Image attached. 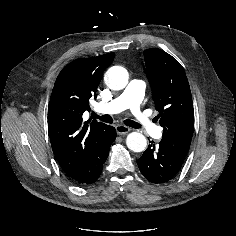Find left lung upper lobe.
<instances>
[{
	"mask_svg": "<svg viewBox=\"0 0 236 236\" xmlns=\"http://www.w3.org/2000/svg\"><path fill=\"white\" fill-rule=\"evenodd\" d=\"M146 73L163 126L161 144L186 157L194 130L190 86L180 63L161 49L144 51Z\"/></svg>",
	"mask_w": 236,
	"mask_h": 236,
	"instance_id": "5c2ea615",
	"label": "left lung upper lobe"
}]
</instances>
